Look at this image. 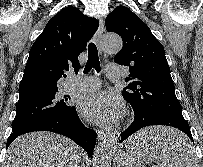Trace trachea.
Returning <instances> with one entry per match:
<instances>
[{"label":"trachea","instance_id":"trachea-1","mask_svg":"<svg viewBox=\"0 0 203 167\" xmlns=\"http://www.w3.org/2000/svg\"><path fill=\"white\" fill-rule=\"evenodd\" d=\"M92 68H94L98 73L101 71L97 47L91 42L88 45V60L84 73H88Z\"/></svg>","mask_w":203,"mask_h":167}]
</instances>
